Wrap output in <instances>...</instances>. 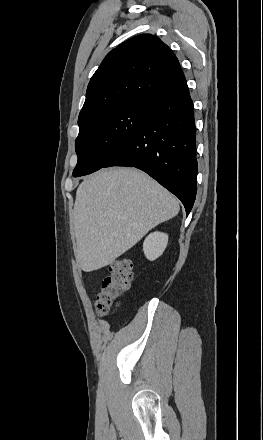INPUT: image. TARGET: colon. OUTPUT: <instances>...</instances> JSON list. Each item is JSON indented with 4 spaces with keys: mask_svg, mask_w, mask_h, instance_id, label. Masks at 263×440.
<instances>
[{
    "mask_svg": "<svg viewBox=\"0 0 263 440\" xmlns=\"http://www.w3.org/2000/svg\"><path fill=\"white\" fill-rule=\"evenodd\" d=\"M132 264L128 259H118L108 268V275L102 281L101 291L95 299V309L100 315H107L127 292L132 282Z\"/></svg>",
    "mask_w": 263,
    "mask_h": 440,
    "instance_id": "colon-1",
    "label": "colon"
}]
</instances>
